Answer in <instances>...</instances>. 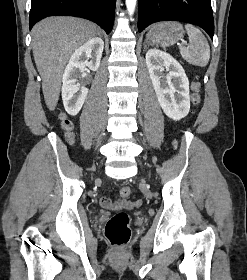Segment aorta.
<instances>
[{
	"instance_id": "obj_1",
	"label": "aorta",
	"mask_w": 247,
	"mask_h": 280,
	"mask_svg": "<svg viewBox=\"0 0 247 280\" xmlns=\"http://www.w3.org/2000/svg\"><path fill=\"white\" fill-rule=\"evenodd\" d=\"M128 14L133 15L136 7L137 0H125Z\"/></svg>"
}]
</instances>
